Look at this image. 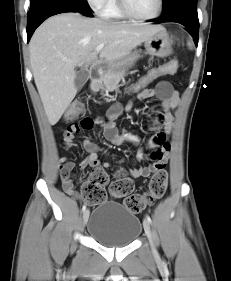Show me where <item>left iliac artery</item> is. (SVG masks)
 <instances>
[{"label": "left iliac artery", "instance_id": "obj_1", "mask_svg": "<svg viewBox=\"0 0 231 281\" xmlns=\"http://www.w3.org/2000/svg\"><path fill=\"white\" fill-rule=\"evenodd\" d=\"M146 220H147L149 223H152V220H151V218H150L149 215L146 216Z\"/></svg>", "mask_w": 231, "mask_h": 281}]
</instances>
